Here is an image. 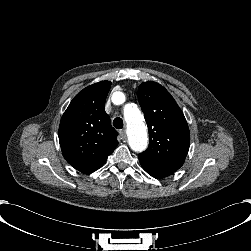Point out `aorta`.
Masks as SVG:
<instances>
[{
	"label": "aorta",
	"instance_id": "aorta-1",
	"mask_svg": "<svg viewBox=\"0 0 251 251\" xmlns=\"http://www.w3.org/2000/svg\"><path fill=\"white\" fill-rule=\"evenodd\" d=\"M123 93H115V96H122ZM124 117L126 122V133L130 147L134 151H142L147 147L148 135L147 126L144 117L140 113L137 106L133 103L127 105L124 109Z\"/></svg>",
	"mask_w": 251,
	"mask_h": 251
}]
</instances>
